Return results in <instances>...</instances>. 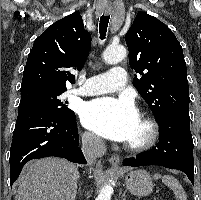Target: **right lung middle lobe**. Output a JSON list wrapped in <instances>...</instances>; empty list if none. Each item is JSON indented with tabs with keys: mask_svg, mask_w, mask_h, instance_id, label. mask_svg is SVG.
Wrapping results in <instances>:
<instances>
[{
	"mask_svg": "<svg viewBox=\"0 0 201 200\" xmlns=\"http://www.w3.org/2000/svg\"><path fill=\"white\" fill-rule=\"evenodd\" d=\"M65 91H33L21 93L18 115L35 111L46 110L62 116L74 115V112L65 106L66 102L60 99Z\"/></svg>",
	"mask_w": 201,
	"mask_h": 200,
	"instance_id": "1",
	"label": "right lung middle lobe"
}]
</instances>
